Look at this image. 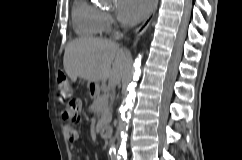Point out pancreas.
Here are the masks:
<instances>
[{"mask_svg": "<svg viewBox=\"0 0 242 160\" xmlns=\"http://www.w3.org/2000/svg\"><path fill=\"white\" fill-rule=\"evenodd\" d=\"M89 110L91 112L97 113V131L101 130L103 126L110 123L112 115L111 108L109 106L108 95L103 94L95 96Z\"/></svg>", "mask_w": 242, "mask_h": 160, "instance_id": "obj_1", "label": "pancreas"}]
</instances>
